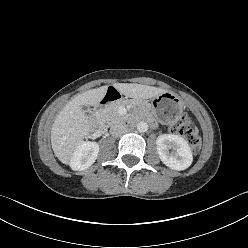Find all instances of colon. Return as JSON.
Returning <instances> with one entry per match:
<instances>
[{"label": "colon", "instance_id": "5ec220e1", "mask_svg": "<svg viewBox=\"0 0 248 248\" xmlns=\"http://www.w3.org/2000/svg\"><path fill=\"white\" fill-rule=\"evenodd\" d=\"M169 129L172 133L185 137L193 153H198L201 148L199 135L194 131L192 122L187 114L182 115L174 121Z\"/></svg>", "mask_w": 248, "mask_h": 248}]
</instances>
